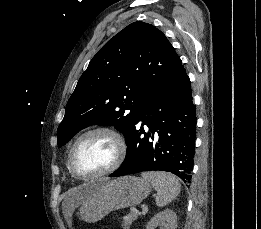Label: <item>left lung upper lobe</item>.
Wrapping results in <instances>:
<instances>
[{"label": "left lung upper lobe", "mask_w": 261, "mask_h": 229, "mask_svg": "<svg viewBox=\"0 0 261 229\" xmlns=\"http://www.w3.org/2000/svg\"><path fill=\"white\" fill-rule=\"evenodd\" d=\"M182 61L151 24L131 23L92 58L69 98L58 147L91 125H114L128 141L150 92Z\"/></svg>", "instance_id": "5c2ea615"}]
</instances>
